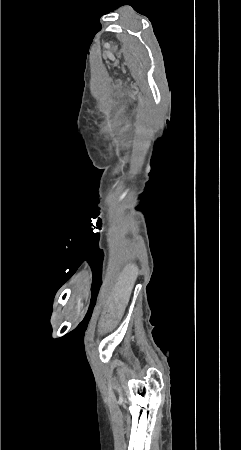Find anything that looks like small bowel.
<instances>
[{"label":"small bowel","instance_id":"small-bowel-1","mask_svg":"<svg viewBox=\"0 0 241 450\" xmlns=\"http://www.w3.org/2000/svg\"><path fill=\"white\" fill-rule=\"evenodd\" d=\"M124 304L121 301L116 300H105L102 303V309L96 311L97 319H126L127 312L126 310H122L121 307ZM102 327L107 326L108 328H112L114 323L112 321H108L107 323L102 322L100 324Z\"/></svg>","mask_w":241,"mask_h":450}]
</instances>
